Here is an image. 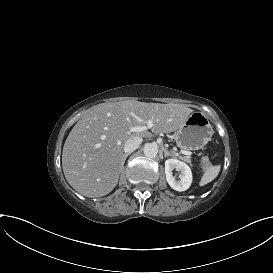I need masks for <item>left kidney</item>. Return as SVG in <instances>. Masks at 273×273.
I'll return each instance as SVG.
<instances>
[{
	"label": "left kidney",
	"mask_w": 273,
	"mask_h": 273,
	"mask_svg": "<svg viewBox=\"0 0 273 273\" xmlns=\"http://www.w3.org/2000/svg\"><path fill=\"white\" fill-rule=\"evenodd\" d=\"M181 170L180 180H175L173 176V170ZM165 173L168 184L176 191H186L193 183V173L190 166L177 159H167L165 161Z\"/></svg>",
	"instance_id": "1"
}]
</instances>
